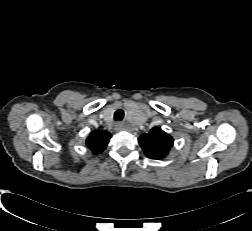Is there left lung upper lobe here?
<instances>
[{"label": "left lung upper lobe", "mask_w": 252, "mask_h": 231, "mask_svg": "<svg viewBox=\"0 0 252 231\" xmlns=\"http://www.w3.org/2000/svg\"><path fill=\"white\" fill-rule=\"evenodd\" d=\"M138 141L146 156L151 159L164 158L173 146V138L157 127L141 135Z\"/></svg>", "instance_id": "1"}]
</instances>
